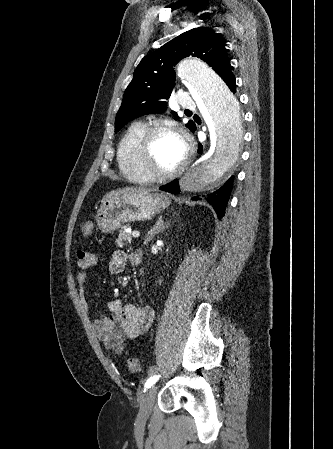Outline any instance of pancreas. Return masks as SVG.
<instances>
[{"mask_svg": "<svg viewBox=\"0 0 333 449\" xmlns=\"http://www.w3.org/2000/svg\"><path fill=\"white\" fill-rule=\"evenodd\" d=\"M127 226L123 228V230L120 231V234L118 236V239L116 240V243L119 247H122L124 245H128L132 241V236L130 233L126 232Z\"/></svg>", "mask_w": 333, "mask_h": 449, "instance_id": "pancreas-1", "label": "pancreas"}]
</instances>
